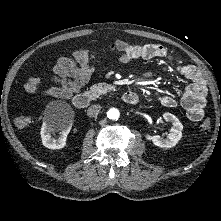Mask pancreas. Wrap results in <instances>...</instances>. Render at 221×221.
<instances>
[{"instance_id": "1", "label": "pancreas", "mask_w": 221, "mask_h": 221, "mask_svg": "<svg viewBox=\"0 0 221 221\" xmlns=\"http://www.w3.org/2000/svg\"><path fill=\"white\" fill-rule=\"evenodd\" d=\"M111 89L110 85L105 83H98L94 84L90 87V89H87L85 92L92 100H95L100 95L107 93Z\"/></svg>"}]
</instances>
